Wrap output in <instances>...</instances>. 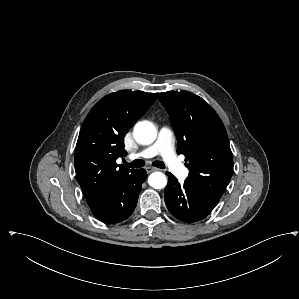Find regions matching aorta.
Returning <instances> with one entry per match:
<instances>
[{"label":"aorta","mask_w":299,"mask_h":299,"mask_svg":"<svg viewBox=\"0 0 299 299\" xmlns=\"http://www.w3.org/2000/svg\"><path fill=\"white\" fill-rule=\"evenodd\" d=\"M156 135L155 126L149 121L138 122L134 127V138L140 144L153 143ZM148 183L154 189H162L166 186L167 179L163 173L154 172L149 176Z\"/></svg>","instance_id":"762f6f07"}]
</instances>
